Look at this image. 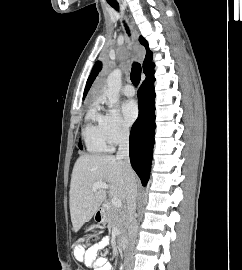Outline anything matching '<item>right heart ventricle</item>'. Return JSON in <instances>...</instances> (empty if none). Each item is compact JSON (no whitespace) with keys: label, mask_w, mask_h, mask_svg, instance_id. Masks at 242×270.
I'll return each mask as SVG.
<instances>
[{"label":"right heart ventricle","mask_w":242,"mask_h":270,"mask_svg":"<svg viewBox=\"0 0 242 270\" xmlns=\"http://www.w3.org/2000/svg\"><path fill=\"white\" fill-rule=\"evenodd\" d=\"M82 137L86 149L91 153H102L112 149L104 127V115L99 112L96 104L87 111Z\"/></svg>","instance_id":"e07e8e85"}]
</instances>
